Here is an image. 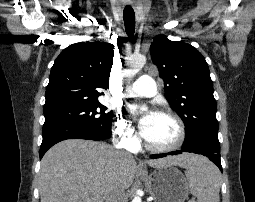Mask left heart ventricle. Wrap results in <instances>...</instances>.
<instances>
[{"label":"left heart ventricle","mask_w":255,"mask_h":202,"mask_svg":"<svg viewBox=\"0 0 255 202\" xmlns=\"http://www.w3.org/2000/svg\"><path fill=\"white\" fill-rule=\"evenodd\" d=\"M143 136L153 145L167 146L176 141L178 129L170 117L155 113Z\"/></svg>","instance_id":"left-heart-ventricle-1"}]
</instances>
